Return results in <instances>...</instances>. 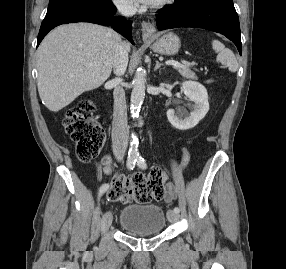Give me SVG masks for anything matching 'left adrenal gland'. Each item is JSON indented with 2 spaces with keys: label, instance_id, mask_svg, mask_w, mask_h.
Wrapping results in <instances>:
<instances>
[{
  "label": "left adrenal gland",
  "instance_id": "1",
  "mask_svg": "<svg viewBox=\"0 0 286 269\" xmlns=\"http://www.w3.org/2000/svg\"><path fill=\"white\" fill-rule=\"evenodd\" d=\"M161 63H159V61H156V65H155V67H154V70L156 71V70H158L160 67H161Z\"/></svg>",
  "mask_w": 286,
  "mask_h": 269
}]
</instances>
